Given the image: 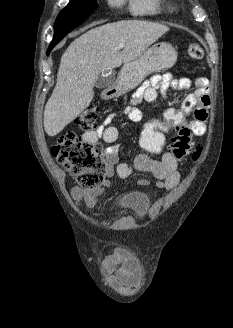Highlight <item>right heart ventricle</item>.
<instances>
[{
    "instance_id": "1",
    "label": "right heart ventricle",
    "mask_w": 233,
    "mask_h": 328,
    "mask_svg": "<svg viewBox=\"0 0 233 328\" xmlns=\"http://www.w3.org/2000/svg\"><path fill=\"white\" fill-rule=\"evenodd\" d=\"M132 13L136 15H152L163 8L162 0H129Z\"/></svg>"
}]
</instances>
